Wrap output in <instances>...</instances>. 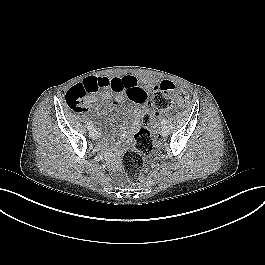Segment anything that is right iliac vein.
I'll use <instances>...</instances> for the list:
<instances>
[{
	"label": "right iliac vein",
	"instance_id": "right-iliac-vein-1",
	"mask_svg": "<svg viewBox=\"0 0 265 265\" xmlns=\"http://www.w3.org/2000/svg\"><path fill=\"white\" fill-rule=\"evenodd\" d=\"M89 136H90L91 138H95V137H97V132H96L95 130H90V132H89Z\"/></svg>",
	"mask_w": 265,
	"mask_h": 265
}]
</instances>
